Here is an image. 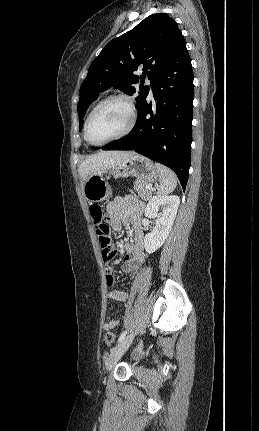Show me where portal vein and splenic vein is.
Masks as SVG:
<instances>
[{
    "label": "portal vein and splenic vein",
    "mask_w": 259,
    "mask_h": 431,
    "mask_svg": "<svg viewBox=\"0 0 259 431\" xmlns=\"http://www.w3.org/2000/svg\"><path fill=\"white\" fill-rule=\"evenodd\" d=\"M146 188L149 189V190H152V186L150 184L146 185Z\"/></svg>",
    "instance_id": "obj_1"
}]
</instances>
